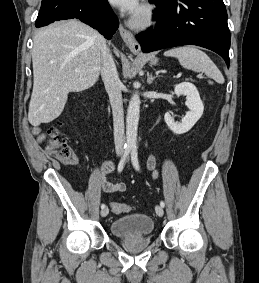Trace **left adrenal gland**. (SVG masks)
Here are the masks:
<instances>
[{"label": "left adrenal gland", "mask_w": 259, "mask_h": 283, "mask_svg": "<svg viewBox=\"0 0 259 283\" xmlns=\"http://www.w3.org/2000/svg\"><path fill=\"white\" fill-rule=\"evenodd\" d=\"M156 77H158V75L153 76L152 73H151V74H148L147 83H148V84H151V83L154 81V79H155Z\"/></svg>", "instance_id": "obj_1"}]
</instances>
